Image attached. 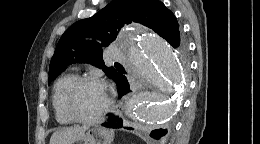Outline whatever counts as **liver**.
<instances>
[{"instance_id":"liver-1","label":"liver","mask_w":260,"mask_h":144,"mask_svg":"<svg viewBox=\"0 0 260 144\" xmlns=\"http://www.w3.org/2000/svg\"><path fill=\"white\" fill-rule=\"evenodd\" d=\"M86 127L63 128L53 133L49 144H71L75 139L86 132Z\"/></svg>"}]
</instances>
